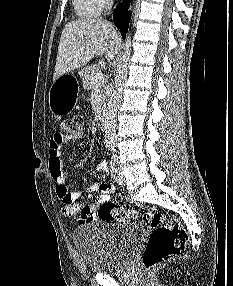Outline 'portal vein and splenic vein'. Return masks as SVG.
<instances>
[{"label": "portal vein and splenic vein", "mask_w": 233, "mask_h": 286, "mask_svg": "<svg viewBox=\"0 0 233 286\" xmlns=\"http://www.w3.org/2000/svg\"><path fill=\"white\" fill-rule=\"evenodd\" d=\"M94 81L95 83H101L104 80V75L102 72H99L97 75H95L94 77Z\"/></svg>", "instance_id": "portal-vein-and-splenic-vein-1"}]
</instances>
